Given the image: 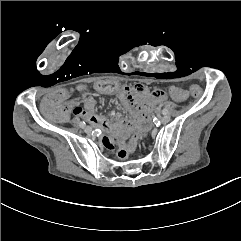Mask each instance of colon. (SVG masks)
<instances>
[{
    "mask_svg": "<svg viewBox=\"0 0 241 241\" xmlns=\"http://www.w3.org/2000/svg\"><path fill=\"white\" fill-rule=\"evenodd\" d=\"M81 91L85 90L84 86L80 87ZM87 91L91 90L90 86L86 87ZM96 90L99 93H117L119 91V86L116 84L115 79H101L99 85L96 87ZM164 91L169 97H172L174 100L179 101L184 98L185 93L183 90L178 89L176 86L171 84H166L164 86ZM190 93L197 97L202 93V88L200 86L194 85L190 87Z\"/></svg>",
    "mask_w": 241,
    "mask_h": 241,
    "instance_id": "5ec220e1",
    "label": "colon"
}]
</instances>
